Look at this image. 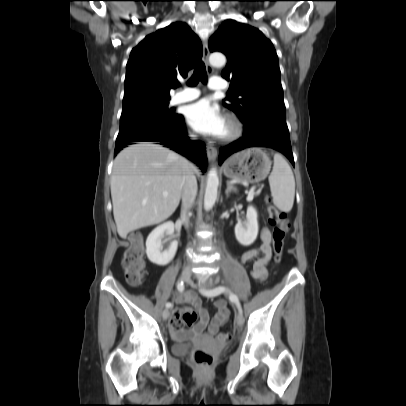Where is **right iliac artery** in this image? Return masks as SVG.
<instances>
[{"instance_id":"82829eb1","label":"right iliac artery","mask_w":406,"mask_h":406,"mask_svg":"<svg viewBox=\"0 0 406 406\" xmlns=\"http://www.w3.org/2000/svg\"><path fill=\"white\" fill-rule=\"evenodd\" d=\"M177 289H178L179 292H183V290H184V283H183V281L178 282V284H177ZM166 307H167V308L172 307V303H171V302H167V303H166Z\"/></svg>"}]
</instances>
